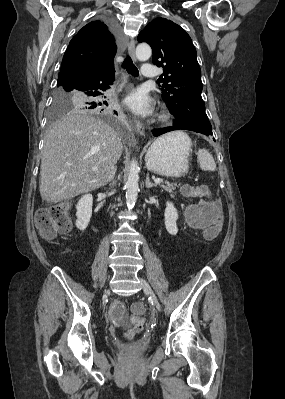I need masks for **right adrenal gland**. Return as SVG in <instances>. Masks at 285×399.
Segmentation results:
<instances>
[{"label": "right adrenal gland", "mask_w": 285, "mask_h": 399, "mask_svg": "<svg viewBox=\"0 0 285 399\" xmlns=\"http://www.w3.org/2000/svg\"><path fill=\"white\" fill-rule=\"evenodd\" d=\"M115 173H116V167L112 169L110 175L108 176L107 183L114 180Z\"/></svg>", "instance_id": "2a0ac1e0"}]
</instances>
